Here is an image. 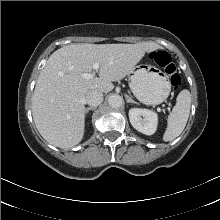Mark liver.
<instances>
[{
  "label": "liver",
  "instance_id": "1",
  "mask_svg": "<svg viewBox=\"0 0 220 220\" xmlns=\"http://www.w3.org/2000/svg\"><path fill=\"white\" fill-rule=\"evenodd\" d=\"M161 47L137 44H70L56 50L41 70L32 97V115L41 136L50 144L69 149L79 144L85 130V95L89 90L108 93L114 81L129 75L143 58ZM99 64V77L84 79Z\"/></svg>",
  "mask_w": 220,
  "mask_h": 220
}]
</instances>
